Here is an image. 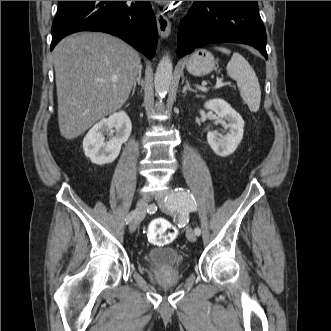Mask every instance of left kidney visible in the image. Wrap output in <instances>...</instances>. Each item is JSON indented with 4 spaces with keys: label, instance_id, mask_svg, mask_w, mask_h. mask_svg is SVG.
<instances>
[{
    "label": "left kidney",
    "instance_id": "1",
    "mask_svg": "<svg viewBox=\"0 0 331 331\" xmlns=\"http://www.w3.org/2000/svg\"><path fill=\"white\" fill-rule=\"evenodd\" d=\"M204 107L214 111L220 118V123L228 129V133L222 138L218 136L217 131L208 132V144L218 156L225 157L232 154L243 137L244 121L242 117L222 99L209 100Z\"/></svg>",
    "mask_w": 331,
    "mask_h": 331
}]
</instances>
